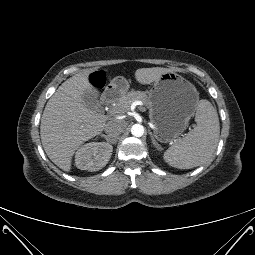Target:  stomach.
<instances>
[{
    "instance_id": "0dacf381",
    "label": "stomach",
    "mask_w": 255,
    "mask_h": 255,
    "mask_svg": "<svg viewBox=\"0 0 255 255\" xmlns=\"http://www.w3.org/2000/svg\"><path fill=\"white\" fill-rule=\"evenodd\" d=\"M128 87V81L117 76L106 90L123 96ZM147 95L149 117L155 126V138L162 143L176 140L197 109L199 93L195 86L179 73L169 71L154 81Z\"/></svg>"
}]
</instances>
